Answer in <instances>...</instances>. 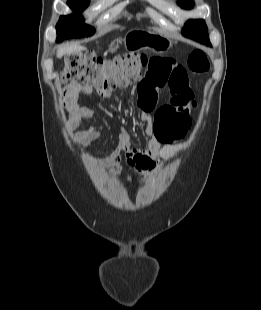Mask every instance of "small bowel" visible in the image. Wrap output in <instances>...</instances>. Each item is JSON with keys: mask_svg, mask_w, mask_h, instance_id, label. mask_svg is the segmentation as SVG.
Returning <instances> with one entry per match:
<instances>
[{"mask_svg": "<svg viewBox=\"0 0 261 310\" xmlns=\"http://www.w3.org/2000/svg\"><path fill=\"white\" fill-rule=\"evenodd\" d=\"M168 89L171 100L168 104L155 109L158 93ZM93 88L81 85H69L64 96L73 102L80 94H91ZM139 97L142 109L141 120L146 124L145 133L150 138L145 149L131 147V136L122 128L117 148L99 161V165L108 168L109 176L130 173L138 182L155 172L162 161L171 159L181 148L175 143L182 139L191 124V112L196 107L193 91L189 87L188 76L184 66L166 56L154 57L147 67L146 78L133 89ZM102 98H110L111 92H99ZM94 110L89 107L72 106L69 123L75 128L82 120L91 119ZM102 132V126L92 125L78 135L79 144L87 146Z\"/></svg>", "mask_w": 261, "mask_h": 310, "instance_id": "small-bowel-1", "label": "small bowel"}]
</instances>
